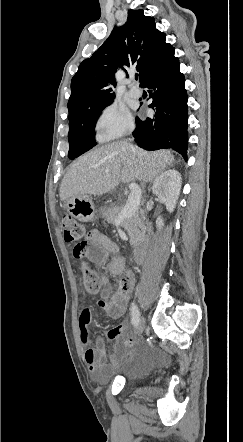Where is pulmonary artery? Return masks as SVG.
<instances>
[{
  "instance_id": "obj_1",
  "label": "pulmonary artery",
  "mask_w": 243,
  "mask_h": 442,
  "mask_svg": "<svg viewBox=\"0 0 243 442\" xmlns=\"http://www.w3.org/2000/svg\"><path fill=\"white\" fill-rule=\"evenodd\" d=\"M132 84H133V82H132ZM130 95H131V97L137 99V98L141 97L142 91L138 87H136L135 85H132V87L130 89Z\"/></svg>"
}]
</instances>
